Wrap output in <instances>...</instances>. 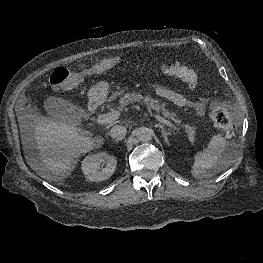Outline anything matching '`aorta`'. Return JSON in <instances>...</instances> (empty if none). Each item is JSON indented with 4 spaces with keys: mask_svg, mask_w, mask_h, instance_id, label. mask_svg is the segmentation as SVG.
<instances>
[{
    "mask_svg": "<svg viewBox=\"0 0 263 263\" xmlns=\"http://www.w3.org/2000/svg\"><path fill=\"white\" fill-rule=\"evenodd\" d=\"M136 137L140 142H149L153 137V130L147 127H140L136 130Z\"/></svg>",
    "mask_w": 263,
    "mask_h": 263,
    "instance_id": "762f6f07",
    "label": "aorta"
}]
</instances>
